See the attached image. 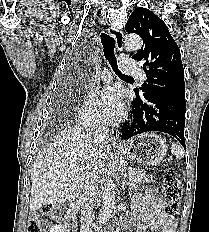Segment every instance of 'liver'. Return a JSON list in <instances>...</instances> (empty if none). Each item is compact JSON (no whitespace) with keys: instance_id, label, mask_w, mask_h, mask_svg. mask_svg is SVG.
<instances>
[{"instance_id":"liver-1","label":"liver","mask_w":209,"mask_h":232,"mask_svg":"<svg viewBox=\"0 0 209 232\" xmlns=\"http://www.w3.org/2000/svg\"><path fill=\"white\" fill-rule=\"evenodd\" d=\"M109 151L105 142L80 127L64 129L32 165L30 211L78 197L92 166L103 168Z\"/></svg>"}]
</instances>
